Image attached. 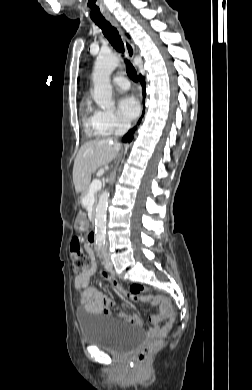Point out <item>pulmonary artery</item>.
<instances>
[{
    "mask_svg": "<svg viewBox=\"0 0 252 390\" xmlns=\"http://www.w3.org/2000/svg\"><path fill=\"white\" fill-rule=\"evenodd\" d=\"M114 86H116L119 89L127 90L129 88V82L125 77L122 76H115L112 80Z\"/></svg>",
    "mask_w": 252,
    "mask_h": 390,
    "instance_id": "1",
    "label": "pulmonary artery"
}]
</instances>
